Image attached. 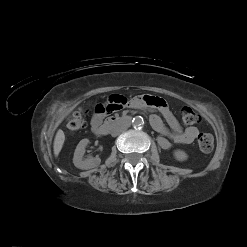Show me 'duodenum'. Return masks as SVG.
Wrapping results in <instances>:
<instances>
[{
  "label": "duodenum",
  "mask_w": 247,
  "mask_h": 247,
  "mask_svg": "<svg viewBox=\"0 0 247 247\" xmlns=\"http://www.w3.org/2000/svg\"><path fill=\"white\" fill-rule=\"evenodd\" d=\"M131 120L130 116L110 117L103 124H99L94 132L97 136H104L116 126L130 124Z\"/></svg>",
  "instance_id": "410a0bca"
}]
</instances>
